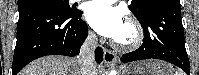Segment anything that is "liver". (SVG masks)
Wrapping results in <instances>:
<instances>
[{
	"label": "liver",
	"mask_w": 199,
	"mask_h": 75,
	"mask_svg": "<svg viewBox=\"0 0 199 75\" xmlns=\"http://www.w3.org/2000/svg\"><path fill=\"white\" fill-rule=\"evenodd\" d=\"M83 66L77 58L46 56L27 65L19 75H82ZM98 70L96 69V75Z\"/></svg>",
	"instance_id": "6515ba94"
}]
</instances>
